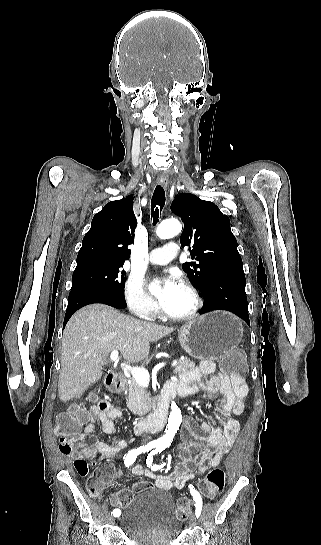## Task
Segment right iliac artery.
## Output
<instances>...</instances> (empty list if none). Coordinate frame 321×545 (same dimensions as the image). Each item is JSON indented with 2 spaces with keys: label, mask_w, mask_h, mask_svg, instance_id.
<instances>
[{
  "label": "right iliac artery",
  "mask_w": 321,
  "mask_h": 545,
  "mask_svg": "<svg viewBox=\"0 0 321 545\" xmlns=\"http://www.w3.org/2000/svg\"><path fill=\"white\" fill-rule=\"evenodd\" d=\"M155 446H156L155 443L150 442V443H148V444L145 445V446H141V447H138V448H136V449H133V450L129 451L128 453H126V454L124 455V463H125V466L129 468V467L134 463V461L136 460V458H137V456H138L139 454H141V453H143V452H148V451H150L152 448H154ZM112 514H113L115 517H117V516H119L120 511L117 510V509H115V510H113Z\"/></svg>",
  "instance_id": "obj_1"
}]
</instances>
